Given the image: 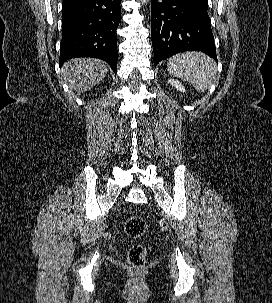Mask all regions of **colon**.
Returning a JSON list of instances; mask_svg holds the SVG:
<instances>
[{
	"label": "colon",
	"instance_id": "5ec220e1",
	"mask_svg": "<svg viewBox=\"0 0 272 303\" xmlns=\"http://www.w3.org/2000/svg\"><path fill=\"white\" fill-rule=\"evenodd\" d=\"M124 229L130 238L139 239L146 232V221L141 216H130L124 224ZM147 250L141 243L133 244L128 250V262L135 270H141L146 262Z\"/></svg>",
	"mask_w": 272,
	"mask_h": 303
}]
</instances>
